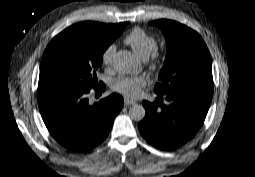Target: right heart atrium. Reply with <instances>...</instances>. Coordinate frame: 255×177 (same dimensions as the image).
<instances>
[{
	"instance_id": "right-heart-atrium-1",
	"label": "right heart atrium",
	"mask_w": 255,
	"mask_h": 177,
	"mask_svg": "<svg viewBox=\"0 0 255 177\" xmlns=\"http://www.w3.org/2000/svg\"><path fill=\"white\" fill-rule=\"evenodd\" d=\"M116 51V45L114 43L108 44L102 53V63L106 66L110 65L113 59V56Z\"/></svg>"
}]
</instances>
